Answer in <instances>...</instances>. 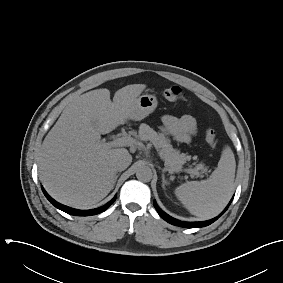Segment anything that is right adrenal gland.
<instances>
[{"label":"right adrenal gland","instance_id":"1","mask_svg":"<svg viewBox=\"0 0 283 283\" xmlns=\"http://www.w3.org/2000/svg\"><path fill=\"white\" fill-rule=\"evenodd\" d=\"M118 176H119V174H117V175L115 176V179H114V182H113V186L115 185V183H116V181H117Z\"/></svg>","mask_w":283,"mask_h":283}]
</instances>
